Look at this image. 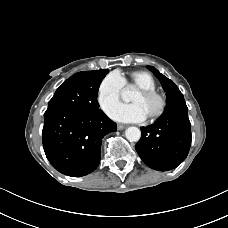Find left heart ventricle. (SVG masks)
I'll use <instances>...</instances> for the list:
<instances>
[{
  "instance_id": "1",
  "label": "left heart ventricle",
  "mask_w": 228,
  "mask_h": 228,
  "mask_svg": "<svg viewBox=\"0 0 228 228\" xmlns=\"http://www.w3.org/2000/svg\"><path fill=\"white\" fill-rule=\"evenodd\" d=\"M131 102L140 105L147 117L156 112L159 107V101L156 98H146L139 92L133 94Z\"/></svg>"
}]
</instances>
